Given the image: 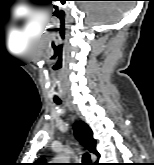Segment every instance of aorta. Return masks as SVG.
Returning <instances> with one entry per match:
<instances>
[{
  "instance_id": "aorta-1",
  "label": "aorta",
  "mask_w": 154,
  "mask_h": 165,
  "mask_svg": "<svg viewBox=\"0 0 154 165\" xmlns=\"http://www.w3.org/2000/svg\"><path fill=\"white\" fill-rule=\"evenodd\" d=\"M55 163H66L68 161V157L60 154L54 158Z\"/></svg>"
}]
</instances>
